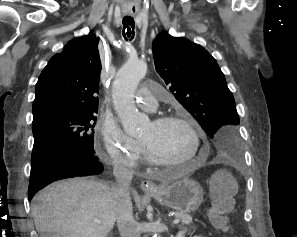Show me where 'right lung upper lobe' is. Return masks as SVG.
Returning <instances> with one entry per match:
<instances>
[{
  "label": "right lung upper lobe",
  "instance_id": "obj_1",
  "mask_svg": "<svg viewBox=\"0 0 297 237\" xmlns=\"http://www.w3.org/2000/svg\"><path fill=\"white\" fill-rule=\"evenodd\" d=\"M100 71L95 36L90 33L68 43L50 59L38 79L32 123L54 113L97 112Z\"/></svg>",
  "mask_w": 297,
  "mask_h": 237
}]
</instances>
